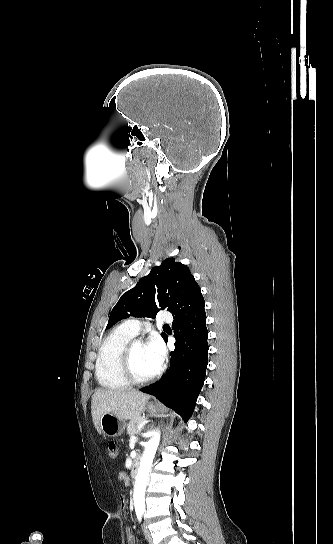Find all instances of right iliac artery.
<instances>
[{"label":"right iliac artery","mask_w":333,"mask_h":544,"mask_svg":"<svg viewBox=\"0 0 333 544\" xmlns=\"http://www.w3.org/2000/svg\"><path fill=\"white\" fill-rule=\"evenodd\" d=\"M137 518L141 522V520H142V513L141 512L137 513Z\"/></svg>","instance_id":"1"}]
</instances>
